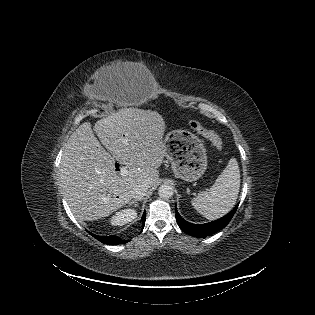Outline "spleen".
<instances>
[{
  "instance_id": "spleen-1",
  "label": "spleen",
  "mask_w": 315,
  "mask_h": 315,
  "mask_svg": "<svg viewBox=\"0 0 315 315\" xmlns=\"http://www.w3.org/2000/svg\"><path fill=\"white\" fill-rule=\"evenodd\" d=\"M240 188L237 160L231 158L213 186L192 199L193 207L205 218L214 220L227 214L235 205Z\"/></svg>"
}]
</instances>
